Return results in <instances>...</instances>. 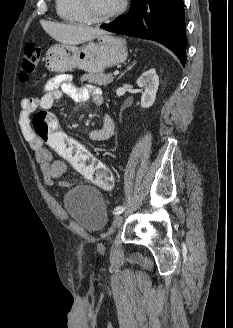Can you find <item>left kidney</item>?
<instances>
[{"label":"left kidney","instance_id":"obj_1","mask_svg":"<svg viewBox=\"0 0 233 328\" xmlns=\"http://www.w3.org/2000/svg\"><path fill=\"white\" fill-rule=\"evenodd\" d=\"M137 85L144 89L141 97V107L149 108L156 99V93L159 86V77L155 69L145 71L137 80Z\"/></svg>","mask_w":233,"mask_h":328}]
</instances>
